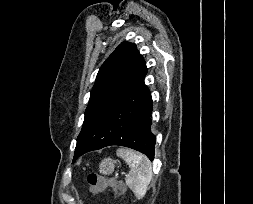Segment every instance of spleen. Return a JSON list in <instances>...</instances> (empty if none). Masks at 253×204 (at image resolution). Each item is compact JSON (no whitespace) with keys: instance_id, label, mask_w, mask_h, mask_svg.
<instances>
[{"instance_id":"3e777b00","label":"spleen","mask_w":253,"mask_h":204,"mask_svg":"<svg viewBox=\"0 0 253 204\" xmlns=\"http://www.w3.org/2000/svg\"><path fill=\"white\" fill-rule=\"evenodd\" d=\"M117 154L130 167L125 178L126 184L138 199H142L153 176L150 160L145 155L126 148L117 150Z\"/></svg>"}]
</instances>
